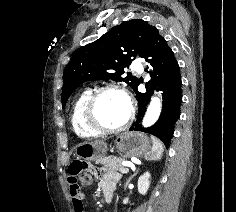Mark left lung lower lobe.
Masks as SVG:
<instances>
[{"mask_svg":"<svg viewBox=\"0 0 236 212\" xmlns=\"http://www.w3.org/2000/svg\"><path fill=\"white\" fill-rule=\"evenodd\" d=\"M147 69L150 71L151 80L146 83V93H140L136 89L138 100V119L131 126L130 130H140L158 137L168 147L174 133V124L180 116V106L182 102L180 67L176 61L172 49L166 40L154 27L150 33L148 45L144 56ZM158 87L163 91V107L159 119L151 127L142 128L143 118L147 104L150 101L153 90Z\"/></svg>","mask_w":236,"mask_h":212,"instance_id":"1","label":"left lung lower lobe"}]
</instances>
